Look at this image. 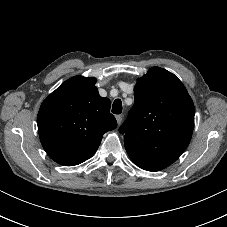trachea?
Segmentation results:
<instances>
[{
    "mask_svg": "<svg viewBox=\"0 0 227 227\" xmlns=\"http://www.w3.org/2000/svg\"><path fill=\"white\" fill-rule=\"evenodd\" d=\"M122 112V101L120 99H116L112 106V113L121 114Z\"/></svg>",
    "mask_w": 227,
    "mask_h": 227,
    "instance_id": "trachea-1",
    "label": "trachea"
}]
</instances>
